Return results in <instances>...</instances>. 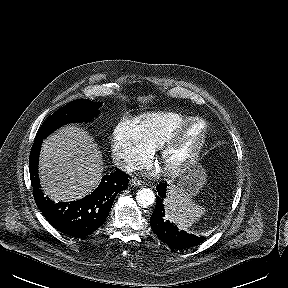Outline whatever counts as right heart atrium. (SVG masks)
Instances as JSON below:
<instances>
[{
  "label": "right heart atrium",
  "mask_w": 288,
  "mask_h": 288,
  "mask_svg": "<svg viewBox=\"0 0 288 288\" xmlns=\"http://www.w3.org/2000/svg\"><path fill=\"white\" fill-rule=\"evenodd\" d=\"M153 149L144 138L137 121L123 120L115 127L112 150L121 168L131 170L146 164Z\"/></svg>",
  "instance_id": "right-heart-atrium-1"
}]
</instances>
